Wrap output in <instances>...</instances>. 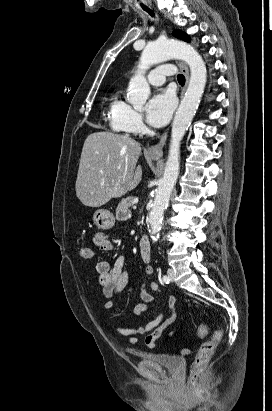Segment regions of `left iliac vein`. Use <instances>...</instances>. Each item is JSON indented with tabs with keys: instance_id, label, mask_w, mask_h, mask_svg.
Segmentation results:
<instances>
[{
	"instance_id": "4c4485c4",
	"label": "left iliac vein",
	"mask_w": 272,
	"mask_h": 411,
	"mask_svg": "<svg viewBox=\"0 0 272 411\" xmlns=\"http://www.w3.org/2000/svg\"><path fill=\"white\" fill-rule=\"evenodd\" d=\"M167 274H168V277H169L170 281H173L174 277H175L174 270L173 269H168Z\"/></svg>"
}]
</instances>
